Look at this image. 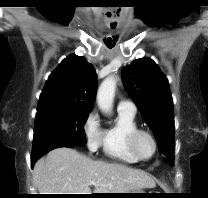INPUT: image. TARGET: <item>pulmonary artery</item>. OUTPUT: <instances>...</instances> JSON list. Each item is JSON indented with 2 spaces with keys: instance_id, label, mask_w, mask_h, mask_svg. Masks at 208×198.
Wrapping results in <instances>:
<instances>
[{
  "instance_id": "obj_1",
  "label": "pulmonary artery",
  "mask_w": 208,
  "mask_h": 198,
  "mask_svg": "<svg viewBox=\"0 0 208 198\" xmlns=\"http://www.w3.org/2000/svg\"><path fill=\"white\" fill-rule=\"evenodd\" d=\"M118 111H123V112H128L131 114H135L136 112V106L133 102L129 100H120L118 105H117Z\"/></svg>"
}]
</instances>
